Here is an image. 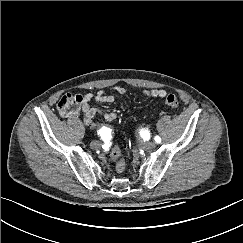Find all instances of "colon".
Here are the masks:
<instances>
[{
	"label": "colon",
	"mask_w": 243,
	"mask_h": 243,
	"mask_svg": "<svg viewBox=\"0 0 243 243\" xmlns=\"http://www.w3.org/2000/svg\"><path fill=\"white\" fill-rule=\"evenodd\" d=\"M83 99L84 97L79 94H65L60 98L57 104V109L62 116L72 115L79 110L83 103ZM164 103L169 107L175 108L179 105V100L174 94H169L165 97ZM110 155L112 160L115 162L116 171L123 172L125 170L126 163L120 148L115 146L111 150Z\"/></svg>",
	"instance_id": "1"
}]
</instances>
